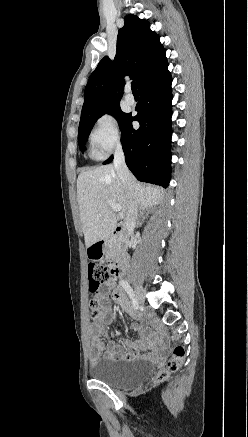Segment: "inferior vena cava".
I'll return each mask as SVG.
<instances>
[{
  "instance_id": "inferior-vena-cava-1",
  "label": "inferior vena cava",
  "mask_w": 248,
  "mask_h": 437,
  "mask_svg": "<svg viewBox=\"0 0 248 437\" xmlns=\"http://www.w3.org/2000/svg\"><path fill=\"white\" fill-rule=\"evenodd\" d=\"M113 162L117 175L129 195L128 214L125 218V224L128 228H133L136 224L138 215V205L133 195V176L126 166L124 153L120 143L116 145Z\"/></svg>"
}]
</instances>
